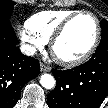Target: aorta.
Wrapping results in <instances>:
<instances>
[{
  "label": "aorta",
  "instance_id": "1",
  "mask_svg": "<svg viewBox=\"0 0 108 108\" xmlns=\"http://www.w3.org/2000/svg\"><path fill=\"white\" fill-rule=\"evenodd\" d=\"M40 83L46 89H52L53 87H55L54 77L47 73L41 75Z\"/></svg>",
  "mask_w": 108,
  "mask_h": 108
}]
</instances>
